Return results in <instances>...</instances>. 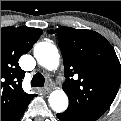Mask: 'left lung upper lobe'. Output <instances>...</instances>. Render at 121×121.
I'll return each mask as SVG.
<instances>
[{"label": "left lung upper lobe", "instance_id": "5c2ea615", "mask_svg": "<svg viewBox=\"0 0 121 121\" xmlns=\"http://www.w3.org/2000/svg\"><path fill=\"white\" fill-rule=\"evenodd\" d=\"M58 36L69 97L67 111L97 120L116 97L121 66L110 43L99 33L70 27L49 30Z\"/></svg>", "mask_w": 121, "mask_h": 121}]
</instances>
